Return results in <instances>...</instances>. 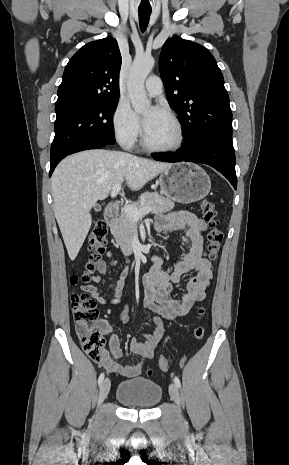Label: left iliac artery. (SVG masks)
Returning a JSON list of instances; mask_svg holds the SVG:
<instances>
[{"label":"left iliac artery","instance_id":"obj_1","mask_svg":"<svg viewBox=\"0 0 289 465\" xmlns=\"http://www.w3.org/2000/svg\"><path fill=\"white\" fill-rule=\"evenodd\" d=\"M174 382H175V385H176L177 387H179V388H180V386H181V382H180V380H179V378H178V377H176V376L174 377Z\"/></svg>","mask_w":289,"mask_h":465}]
</instances>
